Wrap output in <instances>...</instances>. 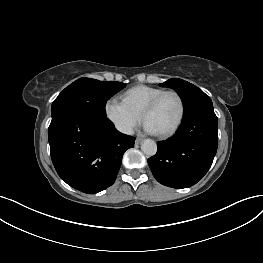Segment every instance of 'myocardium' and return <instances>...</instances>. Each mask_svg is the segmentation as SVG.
I'll return each instance as SVG.
<instances>
[{
	"label": "myocardium",
	"instance_id": "1",
	"mask_svg": "<svg viewBox=\"0 0 263 263\" xmlns=\"http://www.w3.org/2000/svg\"><path fill=\"white\" fill-rule=\"evenodd\" d=\"M168 94H173L178 98L179 103H180V114H179L178 120L176 121V123L174 124V126L170 130H168L164 133L158 134V136L161 138H169V137L173 136L178 131L180 126L182 125L184 117H185V112H186V106H185V101H184L183 96L176 90H164L163 92L158 94L156 97H154L147 104V106L144 108V110L142 112V119L146 123V118H147L148 114L151 113L157 107V105L160 103V101L163 99V97H165Z\"/></svg>",
	"mask_w": 263,
	"mask_h": 263
}]
</instances>
